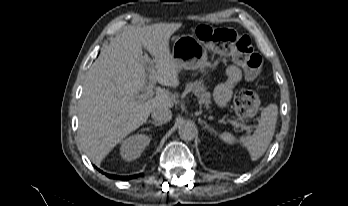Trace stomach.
<instances>
[{
	"mask_svg": "<svg viewBox=\"0 0 348 206\" xmlns=\"http://www.w3.org/2000/svg\"><path fill=\"white\" fill-rule=\"evenodd\" d=\"M172 60L178 71L200 70L206 75L207 50L194 35L178 36L172 49Z\"/></svg>",
	"mask_w": 348,
	"mask_h": 206,
	"instance_id": "stomach-1",
	"label": "stomach"
}]
</instances>
